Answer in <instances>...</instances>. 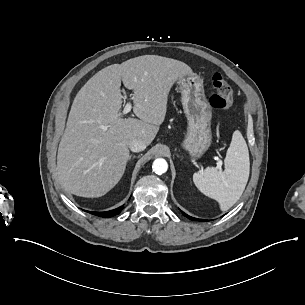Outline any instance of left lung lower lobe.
Wrapping results in <instances>:
<instances>
[{"label": "left lung lower lobe", "instance_id": "left-lung-lower-lobe-1", "mask_svg": "<svg viewBox=\"0 0 305 305\" xmlns=\"http://www.w3.org/2000/svg\"><path fill=\"white\" fill-rule=\"evenodd\" d=\"M182 214H183L185 217L189 218L190 220H194V221H205V220H202V219H196V218H194V217L188 216V215L185 214L184 212H182Z\"/></svg>", "mask_w": 305, "mask_h": 305}]
</instances>
